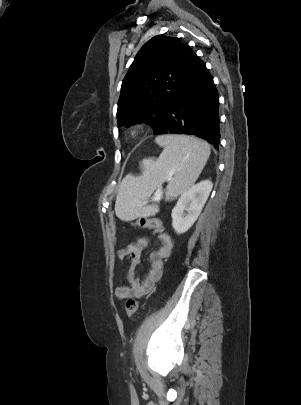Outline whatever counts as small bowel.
<instances>
[{"mask_svg": "<svg viewBox=\"0 0 301 405\" xmlns=\"http://www.w3.org/2000/svg\"><path fill=\"white\" fill-rule=\"evenodd\" d=\"M160 248L149 255L150 268L143 278L136 275V270L141 262L143 251L148 247L149 241L146 237H140L135 243L127 245L119 251L120 259H128L130 266L127 272L126 284L117 288L115 296L119 300L127 298H142L148 294L159 281L163 270V260L171 255L173 240L165 232H158Z\"/></svg>", "mask_w": 301, "mask_h": 405, "instance_id": "c3829d8e", "label": "small bowel"}]
</instances>
